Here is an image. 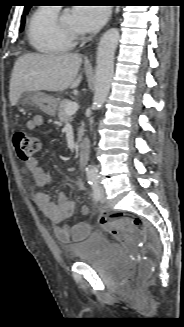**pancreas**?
<instances>
[{
  "mask_svg": "<svg viewBox=\"0 0 184 327\" xmlns=\"http://www.w3.org/2000/svg\"><path fill=\"white\" fill-rule=\"evenodd\" d=\"M69 102H70V100L64 99L60 102V105L58 107V118H59L60 122H62V123L71 122L73 119L72 115L67 114L65 111L66 105ZM83 132H84V124L81 123V127L79 128V132H78V140L79 141L83 135Z\"/></svg>",
  "mask_w": 184,
  "mask_h": 327,
  "instance_id": "pancreas-1",
  "label": "pancreas"
}]
</instances>
